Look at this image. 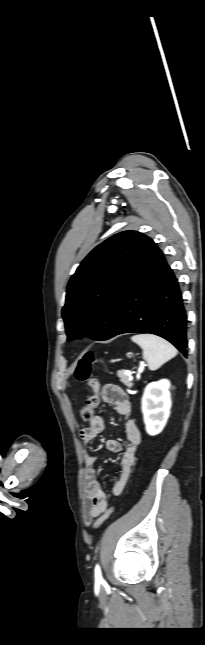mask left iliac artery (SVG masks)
Returning a JSON list of instances; mask_svg holds the SVG:
<instances>
[{
    "label": "left iliac artery",
    "instance_id": "left-iliac-artery-1",
    "mask_svg": "<svg viewBox=\"0 0 205 645\" xmlns=\"http://www.w3.org/2000/svg\"><path fill=\"white\" fill-rule=\"evenodd\" d=\"M95 579L97 581H102L101 569L98 564L95 566Z\"/></svg>",
    "mask_w": 205,
    "mask_h": 645
}]
</instances>
